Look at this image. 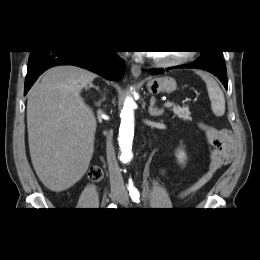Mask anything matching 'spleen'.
Segmentation results:
<instances>
[{
  "label": "spleen",
  "mask_w": 260,
  "mask_h": 260,
  "mask_svg": "<svg viewBox=\"0 0 260 260\" xmlns=\"http://www.w3.org/2000/svg\"><path fill=\"white\" fill-rule=\"evenodd\" d=\"M206 83L208 95L211 101V109L217 117H221L225 113V98L224 94L217 82L207 73L197 71Z\"/></svg>",
  "instance_id": "3e777b00"
}]
</instances>
